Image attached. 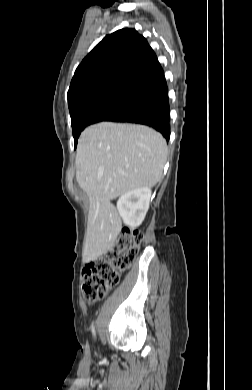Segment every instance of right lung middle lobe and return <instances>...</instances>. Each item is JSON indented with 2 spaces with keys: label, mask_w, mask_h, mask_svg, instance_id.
Listing matches in <instances>:
<instances>
[{
  "label": "right lung middle lobe",
  "mask_w": 252,
  "mask_h": 390,
  "mask_svg": "<svg viewBox=\"0 0 252 390\" xmlns=\"http://www.w3.org/2000/svg\"><path fill=\"white\" fill-rule=\"evenodd\" d=\"M135 98L109 96L97 98L70 112L75 147L80 133L85 127L105 121L110 116L128 107Z\"/></svg>",
  "instance_id": "obj_1"
}]
</instances>
